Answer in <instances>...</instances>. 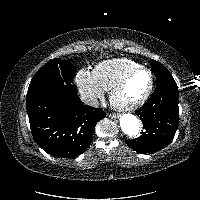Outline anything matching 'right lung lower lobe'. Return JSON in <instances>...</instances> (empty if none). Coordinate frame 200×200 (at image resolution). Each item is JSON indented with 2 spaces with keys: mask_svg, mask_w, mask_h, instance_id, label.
Masks as SVG:
<instances>
[{
  "mask_svg": "<svg viewBox=\"0 0 200 200\" xmlns=\"http://www.w3.org/2000/svg\"><path fill=\"white\" fill-rule=\"evenodd\" d=\"M26 104L35 142L56 157L82 154L96 123L106 116L102 109L85 105L73 85L28 91Z\"/></svg>",
  "mask_w": 200,
  "mask_h": 200,
  "instance_id": "1",
  "label": "right lung lower lobe"
}]
</instances>
